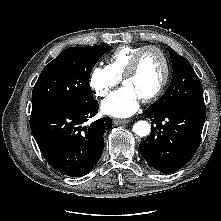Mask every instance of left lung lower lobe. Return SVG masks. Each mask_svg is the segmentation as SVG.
Wrapping results in <instances>:
<instances>
[{"label":"left lung lower lobe","mask_w":221,"mask_h":221,"mask_svg":"<svg viewBox=\"0 0 221 221\" xmlns=\"http://www.w3.org/2000/svg\"><path fill=\"white\" fill-rule=\"evenodd\" d=\"M144 114L152 131L139 149L149 165L163 174L182 168L194 156L205 122L206 108L181 107Z\"/></svg>","instance_id":"left-lung-lower-lobe-1"}]
</instances>
